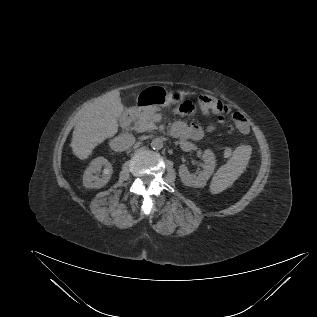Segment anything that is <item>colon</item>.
<instances>
[{"label": "colon", "mask_w": 317, "mask_h": 317, "mask_svg": "<svg viewBox=\"0 0 317 317\" xmlns=\"http://www.w3.org/2000/svg\"><path fill=\"white\" fill-rule=\"evenodd\" d=\"M197 102H198L200 109L203 111H214L215 113H217L218 115H221V116L229 114V112H230L229 108L223 102H221L217 98L210 96V95L199 96ZM190 108H191V104L185 103L184 105H182L180 107V112L187 113L190 111ZM242 116L243 115H241L238 112H235L232 114L233 120L235 121L238 128L244 127V121H242V119H241Z\"/></svg>", "instance_id": "colon-1"}]
</instances>
